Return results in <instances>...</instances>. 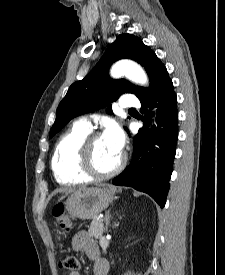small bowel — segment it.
<instances>
[{"label": "small bowel", "instance_id": "obj_1", "mask_svg": "<svg viewBox=\"0 0 225 275\" xmlns=\"http://www.w3.org/2000/svg\"><path fill=\"white\" fill-rule=\"evenodd\" d=\"M72 249L85 253L93 261V275H107L109 265L100 257L98 245L86 231L77 232L71 240ZM69 275H81L77 272H70Z\"/></svg>", "mask_w": 225, "mask_h": 275}]
</instances>
